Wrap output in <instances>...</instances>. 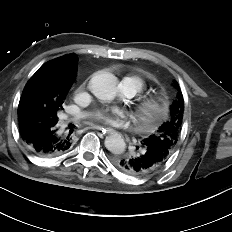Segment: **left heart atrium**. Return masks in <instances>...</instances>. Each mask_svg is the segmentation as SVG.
Masks as SVG:
<instances>
[{
  "label": "left heart atrium",
  "instance_id": "obj_1",
  "mask_svg": "<svg viewBox=\"0 0 232 232\" xmlns=\"http://www.w3.org/2000/svg\"><path fill=\"white\" fill-rule=\"evenodd\" d=\"M124 114L120 110H102L96 113L97 120L106 125H117L124 118Z\"/></svg>",
  "mask_w": 232,
  "mask_h": 232
}]
</instances>
